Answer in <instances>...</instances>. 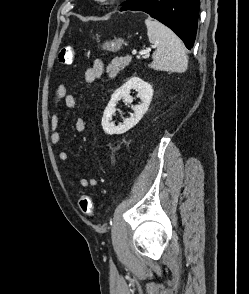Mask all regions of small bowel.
I'll use <instances>...</instances> for the list:
<instances>
[{
    "label": "small bowel",
    "instance_id": "c3829d8e",
    "mask_svg": "<svg viewBox=\"0 0 249 294\" xmlns=\"http://www.w3.org/2000/svg\"><path fill=\"white\" fill-rule=\"evenodd\" d=\"M103 74L104 63L100 59H95L91 66L85 70L84 82L88 84L93 83L94 81L100 79ZM62 102H64L68 109H73L76 106V97L73 92H68L64 85H59L54 90L52 97L53 113L50 120V141L53 146H59L61 143V135L59 130V109ZM75 129L79 133L85 132L87 129L86 121L83 118L78 117L75 120ZM58 159L63 163L69 162V156L64 151H60L58 153ZM67 183L72 187L79 185L83 188H94L97 186L98 181L93 177H79L77 182L71 179H67Z\"/></svg>",
    "mask_w": 249,
    "mask_h": 294
}]
</instances>
